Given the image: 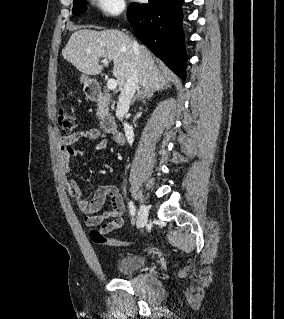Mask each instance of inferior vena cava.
<instances>
[{"instance_id": "1", "label": "inferior vena cava", "mask_w": 284, "mask_h": 319, "mask_svg": "<svg viewBox=\"0 0 284 319\" xmlns=\"http://www.w3.org/2000/svg\"><path fill=\"white\" fill-rule=\"evenodd\" d=\"M134 51L138 50V44L136 41L132 43ZM139 88V75L137 70V58L131 66L130 73L127 77L126 83L121 89V94L117 103V116L122 118L129 110L130 102ZM124 131L129 144H132L134 141V132L133 127L127 123H124Z\"/></svg>"}]
</instances>
